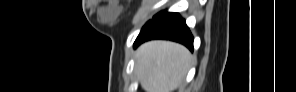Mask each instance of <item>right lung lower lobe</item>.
<instances>
[{"instance_id": "obj_1", "label": "right lung lower lobe", "mask_w": 296, "mask_h": 92, "mask_svg": "<svg viewBox=\"0 0 296 92\" xmlns=\"http://www.w3.org/2000/svg\"><path fill=\"white\" fill-rule=\"evenodd\" d=\"M150 39H169L180 42L193 50V36L178 13H167L165 11L155 15L146 23L134 42L137 47L144 41Z\"/></svg>"}]
</instances>
